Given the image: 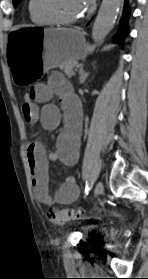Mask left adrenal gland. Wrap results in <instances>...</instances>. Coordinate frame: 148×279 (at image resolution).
<instances>
[{
	"mask_svg": "<svg viewBox=\"0 0 148 279\" xmlns=\"http://www.w3.org/2000/svg\"><path fill=\"white\" fill-rule=\"evenodd\" d=\"M79 75H80L79 76V83L83 84L86 81L87 77L89 76V73L84 72L83 67H81L80 70H79Z\"/></svg>",
	"mask_w": 148,
	"mask_h": 279,
	"instance_id": "left-adrenal-gland-1",
	"label": "left adrenal gland"
}]
</instances>
